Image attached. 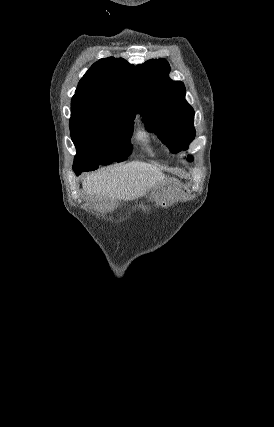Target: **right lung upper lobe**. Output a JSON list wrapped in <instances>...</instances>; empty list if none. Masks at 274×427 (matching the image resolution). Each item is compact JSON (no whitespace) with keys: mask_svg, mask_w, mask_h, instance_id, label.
<instances>
[{"mask_svg":"<svg viewBox=\"0 0 274 427\" xmlns=\"http://www.w3.org/2000/svg\"><path fill=\"white\" fill-rule=\"evenodd\" d=\"M134 67L126 60L108 57L93 64L80 80L71 102V112L107 108L135 112L129 98Z\"/></svg>","mask_w":274,"mask_h":427,"instance_id":"cb5924a9","label":"right lung upper lobe"}]
</instances>
